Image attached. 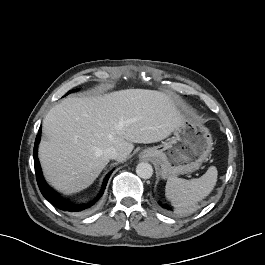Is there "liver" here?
I'll return each mask as SVG.
<instances>
[{"label":"liver","mask_w":265,"mask_h":265,"mask_svg":"<svg viewBox=\"0 0 265 265\" xmlns=\"http://www.w3.org/2000/svg\"><path fill=\"white\" fill-rule=\"evenodd\" d=\"M185 119L170 96L155 90L66 98L43 120L45 139L39 145L43 172L57 190L79 192L108 164L105 149L116 148V160L122 162L132 152L133 143L159 142Z\"/></svg>","instance_id":"1"}]
</instances>
